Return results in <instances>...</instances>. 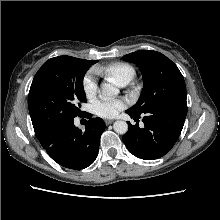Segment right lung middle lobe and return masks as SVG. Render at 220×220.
I'll return each mask as SVG.
<instances>
[{
    "mask_svg": "<svg viewBox=\"0 0 220 220\" xmlns=\"http://www.w3.org/2000/svg\"><path fill=\"white\" fill-rule=\"evenodd\" d=\"M96 62L59 56L41 66L33 79L28 97L29 112L37 137L81 113L80 103L86 102L83 78Z\"/></svg>",
    "mask_w": 220,
    "mask_h": 220,
    "instance_id": "obj_1",
    "label": "right lung middle lobe"
}]
</instances>
